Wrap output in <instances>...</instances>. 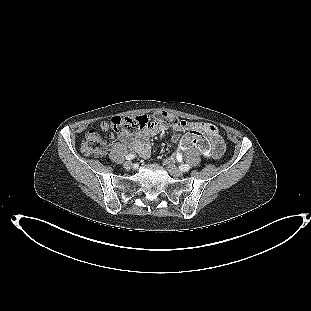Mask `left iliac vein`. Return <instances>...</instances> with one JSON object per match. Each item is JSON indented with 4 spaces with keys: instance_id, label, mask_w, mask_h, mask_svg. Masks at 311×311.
<instances>
[{
    "instance_id": "left-iliac-vein-1",
    "label": "left iliac vein",
    "mask_w": 311,
    "mask_h": 311,
    "mask_svg": "<svg viewBox=\"0 0 311 311\" xmlns=\"http://www.w3.org/2000/svg\"><path fill=\"white\" fill-rule=\"evenodd\" d=\"M167 169L169 173L175 177H179L183 175V171L180 170L177 166L172 164L170 161L167 163Z\"/></svg>"
}]
</instances>
